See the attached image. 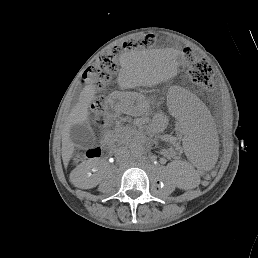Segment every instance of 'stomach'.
<instances>
[{
    "mask_svg": "<svg viewBox=\"0 0 258 258\" xmlns=\"http://www.w3.org/2000/svg\"><path fill=\"white\" fill-rule=\"evenodd\" d=\"M122 98H123V100H125V101H130V97L128 96V94H122Z\"/></svg>",
    "mask_w": 258,
    "mask_h": 258,
    "instance_id": "stomach-1",
    "label": "stomach"
}]
</instances>
